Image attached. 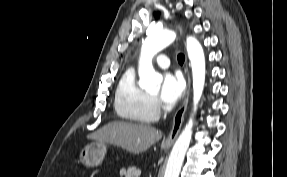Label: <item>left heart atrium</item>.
Returning <instances> with one entry per match:
<instances>
[{"mask_svg":"<svg viewBox=\"0 0 287 177\" xmlns=\"http://www.w3.org/2000/svg\"><path fill=\"white\" fill-rule=\"evenodd\" d=\"M185 83L182 76L175 72H166L163 76L160 96L164 103H175L184 93Z\"/></svg>","mask_w":287,"mask_h":177,"instance_id":"1","label":"left heart atrium"}]
</instances>
